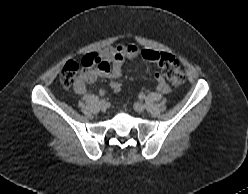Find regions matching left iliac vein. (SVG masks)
Listing matches in <instances>:
<instances>
[{
	"label": "left iliac vein",
	"instance_id": "left-iliac-vein-1",
	"mask_svg": "<svg viewBox=\"0 0 248 194\" xmlns=\"http://www.w3.org/2000/svg\"><path fill=\"white\" fill-rule=\"evenodd\" d=\"M134 109L135 111L139 113H143L145 111V106L141 102L134 103Z\"/></svg>",
	"mask_w": 248,
	"mask_h": 194
}]
</instances>
